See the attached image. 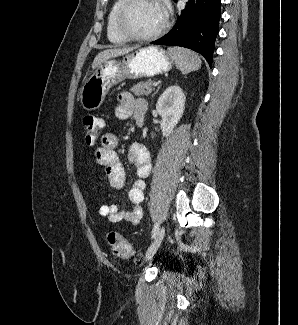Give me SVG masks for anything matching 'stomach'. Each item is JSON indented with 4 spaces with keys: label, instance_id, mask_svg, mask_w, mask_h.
I'll list each match as a JSON object with an SVG mask.
<instances>
[{
    "label": "stomach",
    "instance_id": "0dacf381",
    "mask_svg": "<svg viewBox=\"0 0 298 325\" xmlns=\"http://www.w3.org/2000/svg\"><path fill=\"white\" fill-rule=\"evenodd\" d=\"M174 58L162 46H142L123 54L121 60L109 58L97 66L80 90V102L85 110H96L103 104L106 94L115 84L127 78H152L169 72Z\"/></svg>",
    "mask_w": 298,
    "mask_h": 325
}]
</instances>
